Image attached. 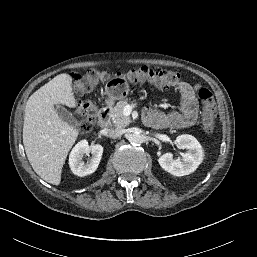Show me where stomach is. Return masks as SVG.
Masks as SVG:
<instances>
[{
  "label": "stomach",
  "mask_w": 257,
  "mask_h": 257,
  "mask_svg": "<svg viewBox=\"0 0 257 257\" xmlns=\"http://www.w3.org/2000/svg\"><path fill=\"white\" fill-rule=\"evenodd\" d=\"M128 85L125 82L112 83L110 82L105 87V94L107 95V102L113 103L126 97L128 94Z\"/></svg>",
  "instance_id": "obj_1"
}]
</instances>
